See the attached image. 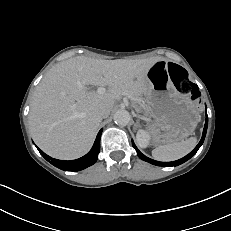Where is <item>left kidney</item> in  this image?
Masks as SVG:
<instances>
[{
    "instance_id": "obj_1",
    "label": "left kidney",
    "mask_w": 231,
    "mask_h": 231,
    "mask_svg": "<svg viewBox=\"0 0 231 231\" xmlns=\"http://www.w3.org/2000/svg\"><path fill=\"white\" fill-rule=\"evenodd\" d=\"M149 135L146 131L144 130H138L137 132V135H136V140H137V143L138 145L141 147V148H146L149 144Z\"/></svg>"
}]
</instances>
